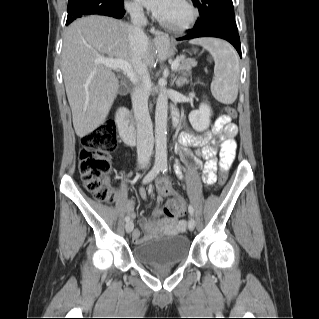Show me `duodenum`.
<instances>
[{
	"label": "duodenum",
	"instance_id": "410a0bca",
	"mask_svg": "<svg viewBox=\"0 0 319 319\" xmlns=\"http://www.w3.org/2000/svg\"><path fill=\"white\" fill-rule=\"evenodd\" d=\"M116 121L122 141L127 145L137 142V133L130 112L124 107L117 110Z\"/></svg>",
	"mask_w": 319,
	"mask_h": 319
}]
</instances>
